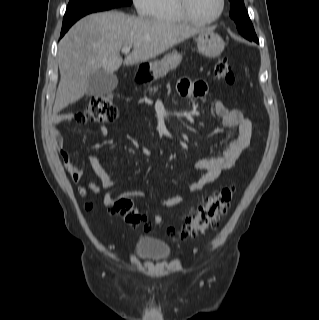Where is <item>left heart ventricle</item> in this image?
<instances>
[{"mask_svg":"<svg viewBox=\"0 0 319 320\" xmlns=\"http://www.w3.org/2000/svg\"><path fill=\"white\" fill-rule=\"evenodd\" d=\"M220 7V0H190V8L198 19H210L214 17Z\"/></svg>","mask_w":319,"mask_h":320,"instance_id":"obj_1","label":"left heart ventricle"}]
</instances>
